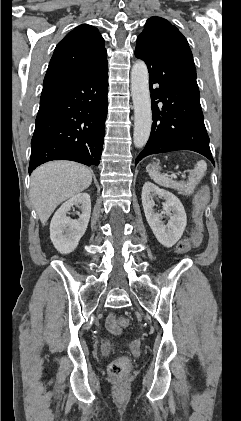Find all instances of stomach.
Wrapping results in <instances>:
<instances>
[{"label": "stomach", "mask_w": 241, "mask_h": 421, "mask_svg": "<svg viewBox=\"0 0 241 421\" xmlns=\"http://www.w3.org/2000/svg\"><path fill=\"white\" fill-rule=\"evenodd\" d=\"M151 167H152V170H154V171H158V169L160 168L159 164H156V163L152 164Z\"/></svg>", "instance_id": "0dacf381"}]
</instances>
